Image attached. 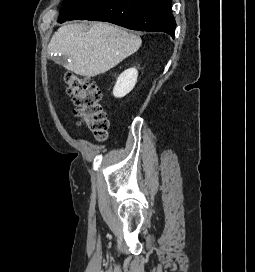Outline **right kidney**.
Returning a JSON list of instances; mask_svg holds the SVG:
<instances>
[{
	"label": "right kidney",
	"mask_w": 255,
	"mask_h": 272,
	"mask_svg": "<svg viewBox=\"0 0 255 272\" xmlns=\"http://www.w3.org/2000/svg\"><path fill=\"white\" fill-rule=\"evenodd\" d=\"M138 71L135 68H129L122 72L113 88V95L116 98H122L127 95L137 82Z\"/></svg>",
	"instance_id": "1"
}]
</instances>
